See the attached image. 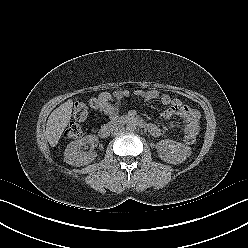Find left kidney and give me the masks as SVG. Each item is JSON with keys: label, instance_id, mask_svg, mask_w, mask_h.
I'll return each mask as SVG.
<instances>
[{"label": "left kidney", "instance_id": "obj_1", "mask_svg": "<svg viewBox=\"0 0 248 248\" xmlns=\"http://www.w3.org/2000/svg\"><path fill=\"white\" fill-rule=\"evenodd\" d=\"M156 148L159 157L170 164L182 163L191 155L190 147L170 139L159 141Z\"/></svg>", "mask_w": 248, "mask_h": 248}]
</instances>
